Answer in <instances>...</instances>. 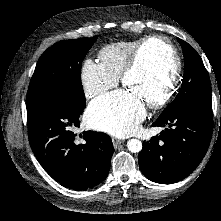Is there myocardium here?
<instances>
[{
  "instance_id": "obj_1",
  "label": "myocardium",
  "mask_w": 221,
  "mask_h": 221,
  "mask_svg": "<svg viewBox=\"0 0 221 221\" xmlns=\"http://www.w3.org/2000/svg\"><path fill=\"white\" fill-rule=\"evenodd\" d=\"M157 41L164 43L168 47L173 60V69L171 71L166 89L160 95H158L155 100L146 104L151 109H159L165 106L171 100L177 89L178 79L181 72V58L174 43L168 37L162 35H153L142 38L130 53L128 62L120 75V81L122 85L125 86L126 79L137 67L142 50L148 44Z\"/></svg>"
}]
</instances>
